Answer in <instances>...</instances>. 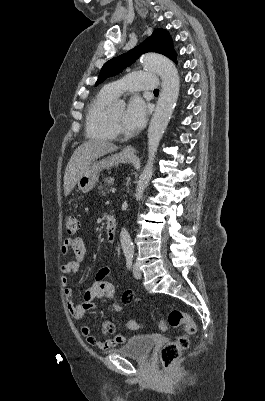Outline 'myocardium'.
<instances>
[{
	"mask_svg": "<svg viewBox=\"0 0 265 401\" xmlns=\"http://www.w3.org/2000/svg\"><path fill=\"white\" fill-rule=\"evenodd\" d=\"M110 124H111L112 130L116 134L124 132V130H125L123 126H121L115 122L112 112L110 113Z\"/></svg>",
	"mask_w": 265,
	"mask_h": 401,
	"instance_id": "myocardium-1",
	"label": "myocardium"
}]
</instances>
